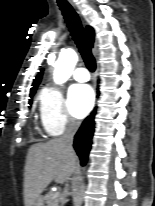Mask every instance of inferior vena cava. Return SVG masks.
<instances>
[{
    "label": "inferior vena cava",
    "instance_id": "obj_1",
    "mask_svg": "<svg viewBox=\"0 0 155 206\" xmlns=\"http://www.w3.org/2000/svg\"><path fill=\"white\" fill-rule=\"evenodd\" d=\"M80 126V122L74 118H69L64 134L60 140L68 152H73V138Z\"/></svg>",
    "mask_w": 155,
    "mask_h": 206
}]
</instances>
